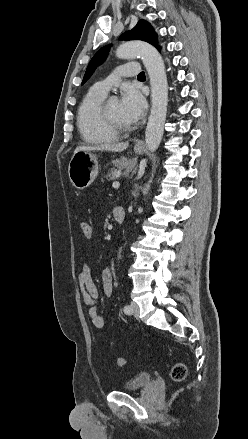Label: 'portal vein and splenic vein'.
<instances>
[{"label": "portal vein and splenic vein", "mask_w": 248, "mask_h": 439, "mask_svg": "<svg viewBox=\"0 0 248 439\" xmlns=\"http://www.w3.org/2000/svg\"><path fill=\"white\" fill-rule=\"evenodd\" d=\"M112 186H113V188L118 189L120 184H119V182H113Z\"/></svg>", "instance_id": "18ae733b"}]
</instances>
